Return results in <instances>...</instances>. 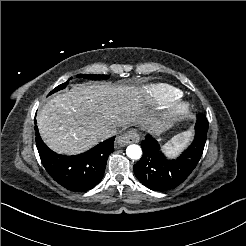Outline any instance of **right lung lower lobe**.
<instances>
[{"instance_id": "1", "label": "right lung lower lobe", "mask_w": 246, "mask_h": 246, "mask_svg": "<svg viewBox=\"0 0 246 246\" xmlns=\"http://www.w3.org/2000/svg\"><path fill=\"white\" fill-rule=\"evenodd\" d=\"M35 131L42 164L59 184L74 192H84L92 189L101 181L107 158L114 151L115 137L105 140L83 154L66 156L54 153L45 145L37 126H35Z\"/></svg>"}]
</instances>
